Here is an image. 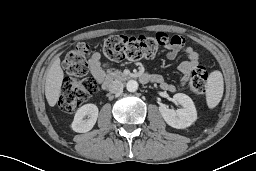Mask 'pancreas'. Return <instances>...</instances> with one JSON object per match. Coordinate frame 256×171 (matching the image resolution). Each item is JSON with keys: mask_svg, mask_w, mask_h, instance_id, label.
Here are the masks:
<instances>
[{"mask_svg": "<svg viewBox=\"0 0 256 171\" xmlns=\"http://www.w3.org/2000/svg\"><path fill=\"white\" fill-rule=\"evenodd\" d=\"M107 73H108V76H111V77H119L121 72L118 71V70L113 71V69H109V70L107 71Z\"/></svg>", "mask_w": 256, "mask_h": 171, "instance_id": "obj_1", "label": "pancreas"}]
</instances>
